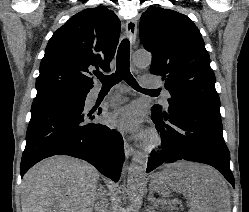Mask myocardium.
<instances>
[{
    "instance_id": "1",
    "label": "myocardium",
    "mask_w": 249,
    "mask_h": 212,
    "mask_svg": "<svg viewBox=\"0 0 249 212\" xmlns=\"http://www.w3.org/2000/svg\"><path fill=\"white\" fill-rule=\"evenodd\" d=\"M147 148L152 149L157 147L161 143L159 134L155 130H150L146 136Z\"/></svg>"
}]
</instances>
